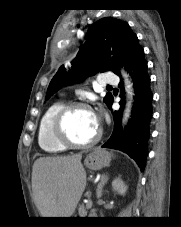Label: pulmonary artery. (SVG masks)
Wrapping results in <instances>:
<instances>
[{
	"instance_id": "pulmonary-artery-1",
	"label": "pulmonary artery",
	"mask_w": 181,
	"mask_h": 227,
	"mask_svg": "<svg viewBox=\"0 0 181 227\" xmlns=\"http://www.w3.org/2000/svg\"><path fill=\"white\" fill-rule=\"evenodd\" d=\"M118 82H119V78L115 74H112V73L103 74V77L100 80L101 85L117 84Z\"/></svg>"
}]
</instances>
